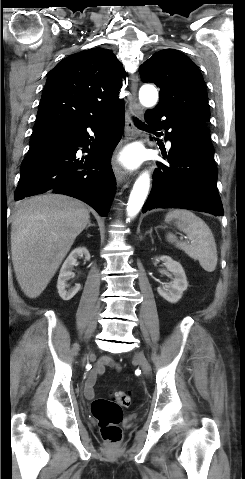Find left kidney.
Returning <instances> with one entry per match:
<instances>
[{"instance_id":"obj_1","label":"left kidney","mask_w":245,"mask_h":479,"mask_svg":"<svg viewBox=\"0 0 245 479\" xmlns=\"http://www.w3.org/2000/svg\"><path fill=\"white\" fill-rule=\"evenodd\" d=\"M160 260L174 278L171 283L158 287L157 291L159 295L168 302L176 303L181 299L183 292L188 287L185 272L181 264L173 260L170 256L163 255L155 259L156 262Z\"/></svg>"}]
</instances>
